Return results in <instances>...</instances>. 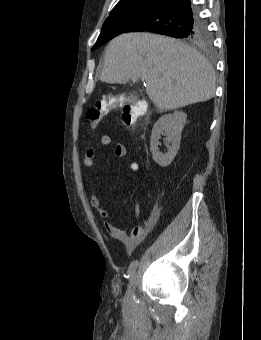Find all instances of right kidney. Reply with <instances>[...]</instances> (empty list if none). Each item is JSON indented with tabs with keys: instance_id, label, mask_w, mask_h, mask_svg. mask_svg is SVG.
I'll use <instances>...</instances> for the list:
<instances>
[{
	"instance_id": "1",
	"label": "right kidney",
	"mask_w": 261,
	"mask_h": 340,
	"mask_svg": "<svg viewBox=\"0 0 261 340\" xmlns=\"http://www.w3.org/2000/svg\"><path fill=\"white\" fill-rule=\"evenodd\" d=\"M187 115L184 112L175 111L172 114H166L158 119L154 124L150 149L152 152L153 160L161 167H166L171 164L175 158L181 141V132L186 124ZM161 135L166 136L165 143L171 145L168 146V152L163 154L159 151V139Z\"/></svg>"
}]
</instances>
